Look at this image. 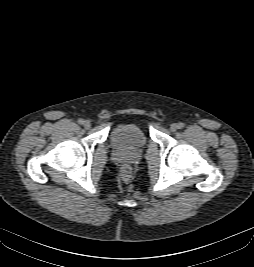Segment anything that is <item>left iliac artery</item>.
Here are the masks:
<instances>
[{"label":"left iliac artery","mask_w":254,"mask_h":267,"mask_svg":"<svg viewBox=\"0 0 254 267\" xmlns=\"http://www.w3.org/2000/svg\"><path fill=\"white\" fill-rule=\"evenodd\" d=\"M184 126H185L184 123H182V122L178 123V128H179V129L184 128Z\"/></svg>","instance_id":"left-iliac-artery-1"}]
</instances>
